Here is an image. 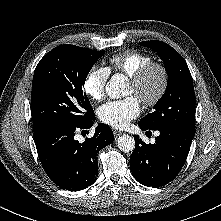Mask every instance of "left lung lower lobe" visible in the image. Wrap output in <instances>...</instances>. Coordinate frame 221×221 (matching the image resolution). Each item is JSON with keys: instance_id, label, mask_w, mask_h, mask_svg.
I'll return each mask as SVG.
<instances>
[{"instance_id": "left-lung-lower-lobe-1", "label": "left lung lower lobe", "mask_w": 221, "mask_h": 221, "mask_svg": "<svg viewBox=\"0 0 221 221\" xmlns=\"http://www.w3.org/2000/svg\"><path fill=\"white\" fill-rule=\"evenodd\" d=\"M142 130H150L139 123ZM160 135L155 144H145L134 136L135 149L130 157L133 177L145 186H164L178 175L188 156L195 131L169 125L156 129Z\"/></svg>"}]
</instances>
